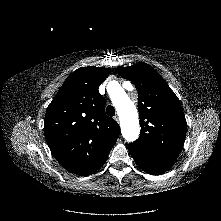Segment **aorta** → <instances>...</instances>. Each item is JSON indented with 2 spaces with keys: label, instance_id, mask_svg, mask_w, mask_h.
Segmentation results:
<instances>
[{
  "label": "aorta",
  "instance_id": "762f6f07",
  "mask_svg": "<svg viewBox=\"0 0 221 221\" xmlns=\"http://www.w3.org/2000/svg\"><path fill=\"white\" fill-rule=\"evenodd\" d=\"M110 98L119 115L123 137L128 142L135 141L140 133L136 106L119 85L110 91Z\"/></svg>",
  "mask_w": 221,
  "mask_h": 221
}]
</instances>
